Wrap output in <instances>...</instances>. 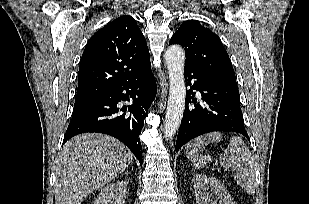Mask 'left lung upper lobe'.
<instances>
[{"mask_svg": "<svg viewBox=\"0 0 309 204\" xmlns=\"http://www.w3.org/2000/svg\"><path fill=\"white\" fill-rule=\"evenodd\" d=\"M169 44H180L185 48L186 68L236 82L229 55L219 37L197 20L183 22Z\"/></svg>", "mask_w": 309, "mask_h": 204, "instance_id": "obj_1", "label": "left lung upper lobe"}]
</instances>
